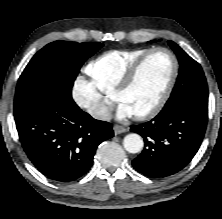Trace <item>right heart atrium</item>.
<instances>
[{"label":"right heart atrium","instance_id":"1","mask_svg":"<svg viewBox=\"0 0 222 219\" xmlns=\"http://www.w3.org/2000/svg\"><path fill=\"white\" fill-rule=\"evenodd\" d=\"M71 97L73 102L94 120L105 121L108 119L112 103L103 98L92 81L83 76H77L72 83Z\"/></svg>","mask_w":222,"mask_h":219}]
</instances>
